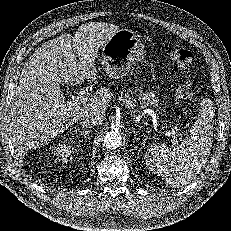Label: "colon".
Instances as JSON below:
<instances>
[{
  "label": "colon",
  "instance_id": "obj_1",
  "mask_svg": "<svg viewBox=\"0 0 231 231\" xmlns=\"http://www.w3.org/2000/svg\"><path fill=\"white\" fill-rule=\"evenodd\" d=\"M169 58L174 66L183 74L187 81L179 85L176 89V95L179 101L186 105L189 104L193 98V93L189 82V67L192 62L191 51L184 48H176L170 52Z\"/></svg>",
  "mask_w": 231,
  "mask_h": 231
}]
</instances>
